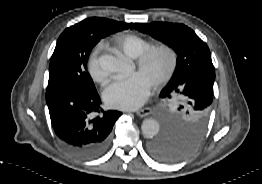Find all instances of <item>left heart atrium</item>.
<instances>
[{
    "label": "left heart atrium",
    "instance_id": "obj_1",
    "mask_svg": "<svg viewBox=\"0 0 262 184\" xmlns=\"http://www.w3.org/2000/svg\"><path fill=\"white\" fill-rule=\"evenodd\" d=\"M152 83L140 72L115 81L104 94L106 103L114 108L134 109L144 103Z\"/></svg>",
    "mask_w": 262,
    "mask_h": 184
}]
</instances>
